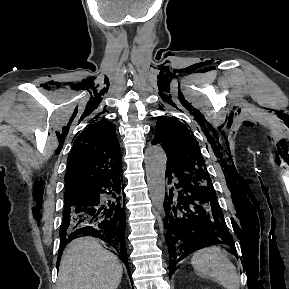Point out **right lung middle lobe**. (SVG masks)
<instances>
[{
  "instance_id": "obj_1",
  "label": "right lung middle lobe",
  "mask_w": 289,
  "mask_h": 289,
  "mask_svg": "<svg viewBox=\"0 0 289 289\" xmlns=\"http://www.w3.org/2000/svg\"><path fill=\"white\" fill-rule=\"evenodd\" d=\"M74 198L72 197H65V203L66 204H71V202H73Z\"/></svg>"
}]
</instances>
